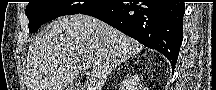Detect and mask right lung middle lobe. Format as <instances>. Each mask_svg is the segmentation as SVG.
<instances>
[{"mask_svg":"<svg viewBox=\"0 0 216 90\" xmlns=\"http://www.w3.org/2000/svg\"><path fill=\"white\" fill-rule=\"evenodd\" d=\"M103 4L105 3L30 2L25 11L29 19V32H35L42 24L57 17L82 13Z\"/></svg>","mask_w":216,"mask_h":90,"instance_id":"dd1d6c3e","label":"right lung middle lobe"}]
</instances>
